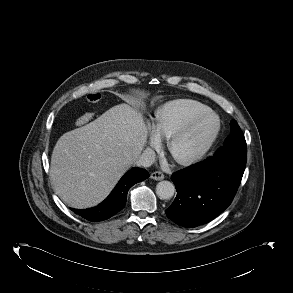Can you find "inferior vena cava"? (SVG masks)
<instances>
[{
  "label": "inferior vena cava",
  "mask_w": 293,
  "mask_h": 293,
  "mask_svg": "<svg viewBox=\"0 0 293 293\" xmlns=\"http://www.w3.org/2000/svg\"><path fill=\"white\" fill-rule=\"evenodd\" d=\"M155 162L154 150L147 148L143 153L135 160L134 164L138 167H149Z\"/></svg>",
  "instance_id": "inferior-vena-cava-1"
}]
</instances>
